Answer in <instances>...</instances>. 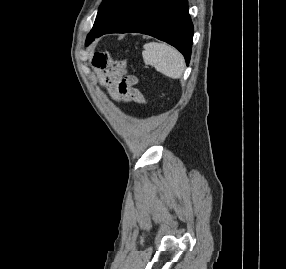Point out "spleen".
Listing matches in <instances>:
<instances>
[{
	"mask_svg": "<svg viewBox=\"0 0 286 269\" xmlns=\"http://www.w3.org/2000/svg\"><path fill=\"white\" fill-rule=\"evenodd\" d=\"M142 56L146 64L154 66L157 71L170 78L177 79L183 74L184 58L169 45L156 42L146 43Z\"/></svg>",
	"mask_w": 286,
	"mask_h": 269,
	"instance_id": "spleen-1",
	"label": "spleen"
}]
</instances>
